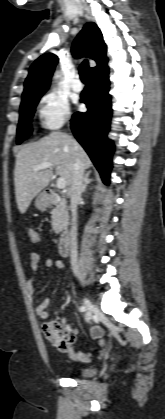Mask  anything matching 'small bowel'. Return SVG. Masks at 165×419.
<instances>
[{"label": "small bowel", "mask_w": 165, "mask_h": 419, "mask_svg": "<svg viewBox=\"0 0 165 419\" xmlns=\"http://www.w3.org/2000/svg\"><path fill=\"white\" fill-rule=\"evenodd\" d=\"M39 264H40L39 254L36 253V252H31L30 253L29 266L31 268L32 275H31V277L28 281V285H27V290H28L29 294H31V295L34 294V292H35L34 283L37 279ZM45 265L48 268H57L61 271L65 270V264L61 260H58V259L48 258V259L45 260ZM49 303H50V299L45 297L35 307L36 314L42 320H46L49 317V314L47 312V308L49 306ZM70 329H71L70 340L67 343H64V344H57V343L53 342L54 347L56 348L57 351L68 354L69 357L72 358L73 360H76V361H79V362H88L90 360V355L86 352L77 350L73 346V344L76 340V337L78 335V332H77L76 328L71 327ZM99 333H100L99 328H93L90 331L89 336L93 338V337L98 336Z\"/></svg>", "instance_id": "1"}]
</instances>
